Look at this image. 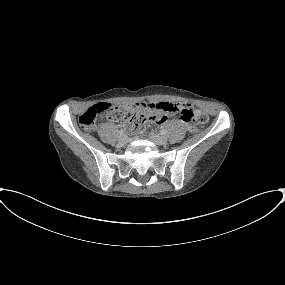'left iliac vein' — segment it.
Wrapping results in <instances>:
<instances>
[{"label": "left iliac vein", "mask_w": 285, "mask_h": 285, "mask_svg": "<svg viewBox=\"0 0 285 285\" xmlns=\"http://www.w3.org/2000/svg\"><path fill=\"white\" fill-rule=\"evenodd\" d=\"M149 138L157 145H165L167 143V138L160 134L151 133L149 135Z\"/></svg>", "instance_id": "1"}]
</instances>
